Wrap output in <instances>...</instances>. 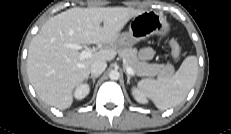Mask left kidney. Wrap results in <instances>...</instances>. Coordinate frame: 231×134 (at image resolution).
Segmentation results:
<instances>
[{
    "mask_svg": "<svg viewBox=\"0 0 231 134\" xmlns=\"http://www.w3.org/2000/svg\"><path fill=\"white\" fill-rule=\"evenodd\" d=\"M132 95L134 99L141 104H146L148 102L146 96L136 87L132 88Z\"/></svg>",
    "mask_w": 231,
    "mask_h": 134,
    "instance_id": "1",
    "label": "left kidney"
}]
</instances>
